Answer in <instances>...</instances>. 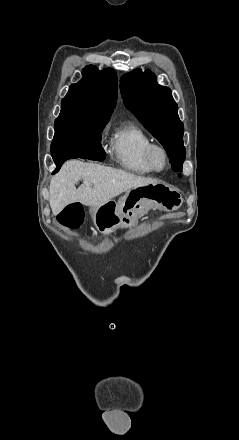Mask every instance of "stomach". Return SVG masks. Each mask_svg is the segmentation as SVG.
<instances>
[{
	"instance_id": "0dacf381",
	"label": "stomach",
	"mask_w": 239,
	"mask_h": 440,
	"mask_svg": "<svg viewBox=\"0 0 239 440\" xmlns=\"http://www.w3.org/2000/svg\"><path fill=\"white\" fill-rule=\"evenodd\" d=\"M183 198L178 190L166 184H149L131 188L118 202L110 200L97 208H89V214L100 234H113L118 228H131L152 206L165 212H174L182 206Z\"/></svg>"
}]
</instances>
